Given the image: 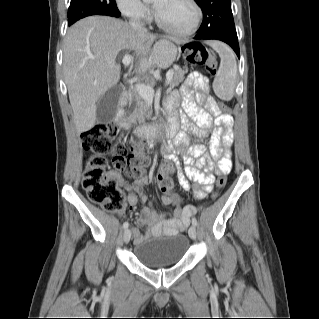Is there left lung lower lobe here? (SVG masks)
Masks as SVG:
<instances>
[{"label":"left lung lower lobe","instance_id":"left-lung-lower-lobe-1","mask_svg":"<svg viewBox=\"0 0 319 319\" xmlns=\"http://www.w3.org/2000/svg\"><path fill=\"white\" fill-rule=\"evenodd\" d=\"M195 39H215V40H220L228 45L231 46V48L235 51L238 57H240L239 54V44H238V38L237 36H228V35H222V34H216V35H210L206 37H200V36H195Z\"/></svg>","mask_w":319,"mask_h":319}]
</instances>
